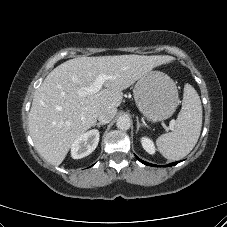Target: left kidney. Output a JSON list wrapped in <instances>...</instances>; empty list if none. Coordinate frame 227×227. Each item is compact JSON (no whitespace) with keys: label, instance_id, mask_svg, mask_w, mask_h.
<instances>
[{"label":"left kidney","instance_id":"left-kidney-1","mask_svg":"<svg viewBox=\"0 0 227 227\" xmlns=\"http://www.w3.org/2000/svg\"><path fill=\"white\" fill-rule=\"evenodd\" d=\"M141 144L144 150L149 154H155L156 148L153 141L148 137L141 138Z\"/></svg>","mask_w":227,"mask_h":227}]
</instances>
